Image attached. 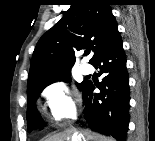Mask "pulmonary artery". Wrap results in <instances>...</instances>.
I'll return each instance as SVG.
<instances>
[{"instance_id": "e3ab8cb5", "label": "pulmonary artery", "mask_w": 155, "mask_h": 141, "mask_svg": "<svg viewBox=\"0 0 155 141\" xmlns=\"http://www.w3.org/2000/svg\"><path fill=\"white\" fill-rule=\"evenodd\" d=\"M80 71L84 75H88L93 72V67L89 64H83L80 67Z\"/></svg>"}]
</instances>
